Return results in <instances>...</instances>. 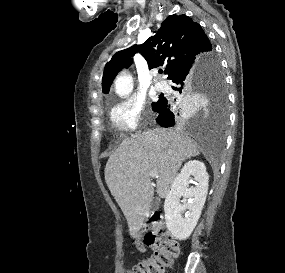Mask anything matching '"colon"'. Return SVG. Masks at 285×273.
I'll return each instance as SVG.
<instances>
[{
	"label": "colon",
	"mask_w": 285,
	"mask_h": 273,
	"mask_svg": "<svg viewBox=\"0 0 285 273\" xmlns=\"http://www.w3.org/2000/svg\"><path fill=\"white\" fill-rule=\"evenodd\" d=\"M135 244L140 251L151 247L154 252L140 262L133 273H165L180 251L178 241L170 235L161 218L152 219Z\"/></svg>",
	"instance_id": "1"
}]
</instances>
